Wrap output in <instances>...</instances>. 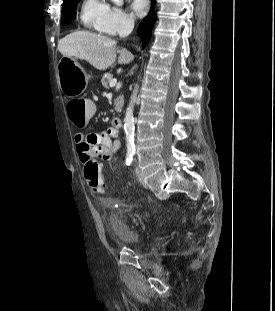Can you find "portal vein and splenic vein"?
Wrapping results in <instances>:
<instances>
[{
  "mask_svg": "<svg viewBox=\"0 0 275 311\" xmlns=\"http://www.w3.org/2000/svg\"><path fill=\"white\" fill-rule=\"evenodd\" d=\"M116 83H117V79H112L111 81H110V87H114L115 85H116Z\"/></svg>",
  "mask_w": 275,
  "mask_h": 311,
  "instance_id": "obj_1",
  "label": "portal vein and splenic vein"
}]
</instances>
